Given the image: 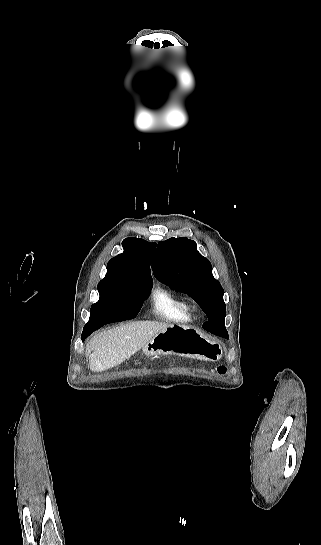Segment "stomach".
I'll return each mask as SVG.
<instances>
[{
    "instance_id": "0dacf381",
    "label": "stomach",
    "mask_w": 321,
    "mask_h": 545,
    "mask_svg": "<svg viewBox=\"0 0 321 545\" xmlns=\"http://www.w3.org/2000/svg\"><path fill=\"white\" fill-rule=\"evenodd\" d=\"M146 357L179 355L203 361H219L223 355L219 341H211L194 327L171 325L155 335L142 349Z\"/></svg>"
}]
</instances>
